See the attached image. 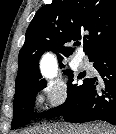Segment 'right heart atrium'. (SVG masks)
<instances>
[{"instance_id": "obj_1", "label": "right heart atrium", "mask_w": 116, "mask_h": 134, "mask_svg": "<svg viewBox=\"0 0 116 134\" xmlns=\"http://www.w3.org/2000/svg\"><path fill=\"white\" fill-rule=\"evenodd\" d=\"M69 96V87L62 79H53L45 83L40 91V100L47 108L55 110L63 106Z\"/></svg>"}]
</instances>
